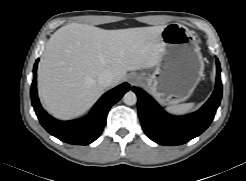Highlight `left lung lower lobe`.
Here are the masks:
<instances>
[{"mask_svg": "<svg viewBox=\"0 0 246 181\" xmlns=\"http://www.w3.org/2000/svg\"><path fill=\"white\" fill-rule=\"evenodd\" d=\"M216 87L209 100L195 113L182 117L171 116L143 90L133 87L138 96V114L146 135L166 146L184 144L204 132L211 124L222 97L220 64L216 60Z\"/></svg>", "mask_w": 246, "mask_h": 181, "instance_id": "1", "label": "left lung lower lobe"}]
</instances>
